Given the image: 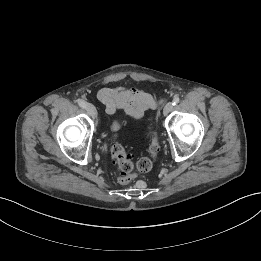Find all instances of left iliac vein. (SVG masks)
Here are the masks:
<instances>
[{"mask_svg":"<svg viewBox=\"0 0 261 261\" xmlns=\"http://www.w3.org/2000/svg\"><path fill=\"white\" fill-rule=\"evenodd\" d=\"M172 109H173V103L172 102L166 103L163 109V114L165 116L168 115L172 111Z\"/></svg>","mask_w":261,"mask_h":261,"instance_id":"left-iliac-vein-1","label":"left iliac vein"}]
</instances>
